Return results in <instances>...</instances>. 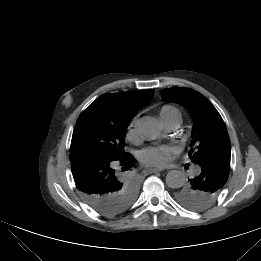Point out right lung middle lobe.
Here are the masks:
<instances>
[{
	"label": "right lung middle lobe",
	"mask_w": 261,
	"mask_h": 261,
	"mask_svg": "<svg viewBox=\"0 0 261 261\" xmlns=\"http://www.w3.org/2000/svg\"><path fill=\"white\" fill-rule=\"evenodd\" d=\"M128 122L111 116L99 106L90 105L79 116L71 141L70 152L86 151L109 160H123L131 155L124 152ZM138 184L126 178L117 194L127 209L134 201Z\"/></svg>",
	"instance_id": "obj_1"
}]
</instances>
